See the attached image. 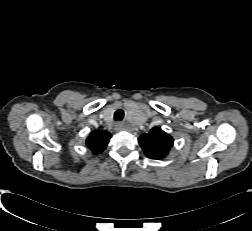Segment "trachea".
I'll return each mask as SVG.
<instances>
[{"instance_id":"trachea-1","label":"trachea","mask_w":252,"mask_h":231,"mask_svg":"<svg viewBox=\"0 0 252 231\" xmlns=\"http://www.w3.org/2000/svg\"><path fill=\"white\" fill-rule=\"evenodd\" d=\"M124 117V111L122 109H118L115 113H114V119L117 121L122 120Z\"/></svg>"}]
</instances>
